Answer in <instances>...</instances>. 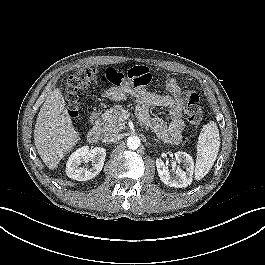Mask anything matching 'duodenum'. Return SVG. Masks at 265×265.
I'll list each match as a JSON object with an SVG mask.
<instances>
[{"label": "duodenum", "instance_id": "1", "mask_svg": "<svg viewBox=\"0 0 265 265\" xmlns=\"http://www.w3.org/2000/svg\"><path fill=\"white\" fill-rule=\"evenodd\" d=\"M100 112L93 111L89 117L90 129L88 131L87 137L91 143H96L99 141L101 136V129L99 126Z\"/></svg>", "mask_w": 265, "mask_h": 265}]
</instances>
